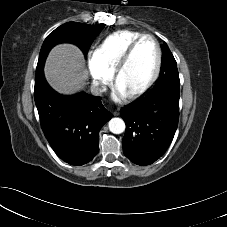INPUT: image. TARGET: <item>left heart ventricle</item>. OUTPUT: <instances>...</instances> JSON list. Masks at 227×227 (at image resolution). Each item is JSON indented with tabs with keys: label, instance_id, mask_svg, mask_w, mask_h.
Masks as SVG:
<instances>
[{
	"label": "left heart ventricle",
	"instance_id": "obj_1",
	"mask_svg": "<svg viewBox=\"0 0 227 227\" xmlns=\"http://www.w3.org/2000/svg\"><path fill=\"white\" fill-rule=\"evenodd\" d=\"M156 63V46L151 39L145 38L135 48L128 65L118 78L117 87L125 94L140 88L152 76Z\"/></svg>",
	"mask_w": 227,
	"mask_h": 227
}]
</instances>
